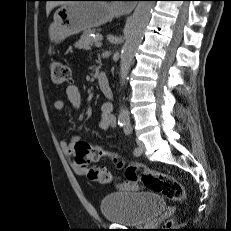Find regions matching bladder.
I'll return each instance as SVG.
<instances>
[{
	"instance_id": "1",
	"label": "bladder",
	"mask_w": 231,
	"mask_h": 231,
	"mask_svg": "<svg viewBox=\"0 0 231 231\" xmlns=\"http://www.w3.org/2000/svg\"><path fill=\"white\" fill-rule=\"evenodd\" d=\"M166 207L157 193L118 191L104 197L99 203L103 218L125 226H142L154 221Z\"/></svg>"
}]
</instances>
